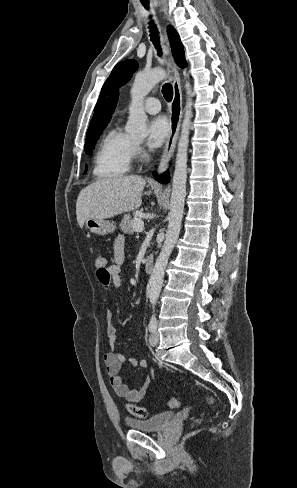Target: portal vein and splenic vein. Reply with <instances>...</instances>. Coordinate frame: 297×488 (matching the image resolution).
Segmentation results:
<instances>
[{
    "label": "portal vein and splenic vein",
    "instance_id": "1",
    "mask_svg": "<svg viewBox=\"0 0 297 488\" xmlns=\"http://www.w3.org/2000/svg\"><path fill=\"white\" fill-rule=\"evenodd\" d=\"M133 228L136 232H142L144 230V223L141 219H135L133 222Z\"/></svg>",
    "mask_w": 297,
    "mask_h": 488
}]
</instances>
